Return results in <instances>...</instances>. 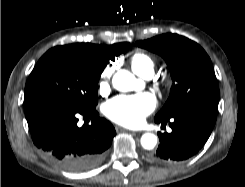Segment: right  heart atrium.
I'll return each mask as SVG.
<instances>
[{"mask_svg":"<svg viewBox=\"0 0 245 187\" xmlns=\"http://www.w3.org/2000/svg\"><path fill=\"white\" fill-rule=\"evenodd\" d=\"M114 68L112 66H108L103 72V79L100 81L98 90L99 93L105 95L110 90L109 79L112 75Z\"/></svg>","mask_w":245,"mask_h":187,"instance_id":"right-heart-atrium-1","label":"right heart atrium"}]
</instances>
